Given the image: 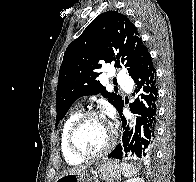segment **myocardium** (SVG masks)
I'll use <instances>...</instances> for the list:
<instances>
[{
	"label": "myocardium",
	"mask_w": 196,
	"mask_h": 182,
	"mask_svg": "<svg viewBox=\"0 0 196 182\" xmlns=\"http://www.w3.org/2000/svg\"><path fill=\"white\" fill-rule=\"evenodd\" d=\"M91 117H98V118H103L104 116L102 113L96 110H88L83 113H80V115L73 121L71 124L68 134H67V145L69 150L77 157L81 159H95L101 156H104L107 154L113 147L114 142H115V135L112 129H110V135H109V140L107 144L99 151L94 152V153H86L79 149L75 143V135L80 127V125L87 120L88 118Z\"/></svg>",
	"instance_id": "1"
}]
</instances>
